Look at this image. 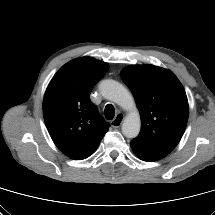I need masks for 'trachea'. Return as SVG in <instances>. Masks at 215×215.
<instances>
[{
    "instance_id": "3493384b",
    "label": "trachea",
    "mask_w": 215,
    "mask_h": 215,
    "mask_svg": "<svg viewBox=\"0 0 215 215\" xmlns=\"http://www.w3.org/2000/svg\"><path fill=\"white\" fill-rule=\"evenodd\" d=\"M114 115H115L114 107L110 104H107L105 106V117H106V119L112 120L114 118Z\"/></svg>"
}]
</instances>
